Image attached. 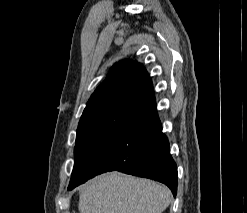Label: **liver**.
I'll return each instance as SVG.
<instances>
[{
	"label": "liver",
	"instance_id": "liver-1",
	"mask_svg": "<svg viewBox=\"0 0 247 213\" xmlns=\"http://www.w3.org/2000/svg\"><path fill=\"white\" fill-rule=\"evenodd\" d=\"M171 198L162 184L110 172L85 185L78 209L80 213H162Z\"/></svg>",
	"mask_w": 247,
	"mask_h": 213
}]
</instances>
